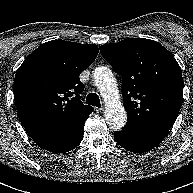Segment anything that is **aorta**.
I'll list each match as a JSON object with an SVG mask.
<instances>
[{"instance_id": "762f6f07", "label": "aorta", "mask_w": 193, "mask_h": 193, "mask_svg": "<svg viewBox=\"0 0 193 193\" xmlns=\"http://www.w3.org/2000/svg\"><path fill=\"white\" fill-rule=\"evenodd\" d=\"M93 78L105 103V119L114 130L122 129L127 122V114L119 100V92L116 80L108 67H97L93 72Z\"/></svg>"}]
</instances>
